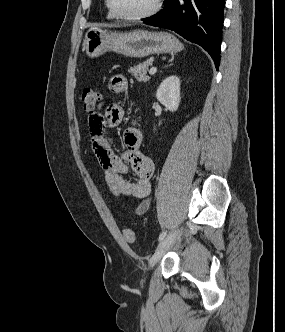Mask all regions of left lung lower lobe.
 I'll return each instance as SVG.
<instances>
[{"label": "left lung lower lobe", "instance_id": "left-lung-lower-lobe-1", "mask_svg": "<svg viewBox=\"0 0 285 332\" xmlns=\"http://www.w3.org/2000/svg\"><path fill=\"white\" fill-rule=\"evenodd\" d=\"M224 6L225 0H166L161 12L143 22L173 30L202 46L218 70Z\"/></svg>", "mask_w": 285, "mask_h": 332}]
</instances>
